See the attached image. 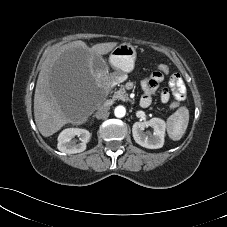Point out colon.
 <instances>
[{
  "instance_id": "1",
  "label": "colon",
  "mask_w": 227,
  "mask_h": 227,
  "mask_svg": "<svg viewBox=\"0 0 227 227\" xmlns=\"http://www.w3.org/2000/svg\"><path fill=\"white\" fill-rule=\"evenodd\" d=\"M157 69L162 74H167L170 71L169 67L167 65H164V64L159 65ZM178 105L179 104L177 102H174V103L171 104V107L176 108V107H178Z\"/></svg>"
}]
</instances>
